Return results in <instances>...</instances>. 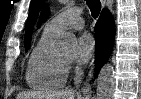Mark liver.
Returning <instances> with one entry per match:
<instances>
[{
	"label": "liver",
	"instance_id": "6515ba94",
	"mask_svg": "<svg viewBox=\"0 0 141 99\" xmlns=\"http://www.w3.org/2000/svg\"><path fill=\"white\" fill-rule=\"evenodd\" d=\"M75 91L65 90L49 93L21 92L16 99H75Z\"/></svg>",
	"mask_w": 141,
	"mask_h": 99
}]
</instances>
